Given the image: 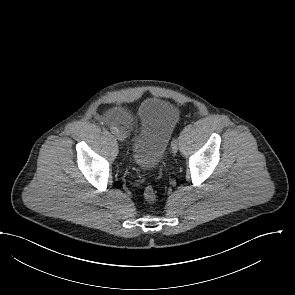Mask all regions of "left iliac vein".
Instances as JSON below:
<instances>
[{
    "mask_svg": "<svg viewBox=\"0 0 295 295\" xmlns=\"http://www.w3.org/2000/svg\"><path fill=\"white\" fill-rule=\"evenodd\" d=\"M177 151H178V145H177V143H175V144H171V152H172L173 154H176Z\"/></svg>",
    "mask_w": 295,
    "mask_h": 295,
    "instance_id": "left-iliac-vein-1",
    "label": "left iliac vein"
}]
</instances>
